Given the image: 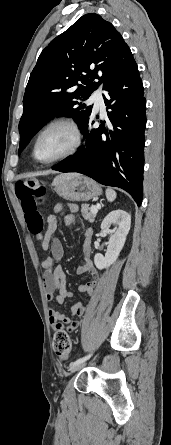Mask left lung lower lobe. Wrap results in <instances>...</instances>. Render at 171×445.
<instances>
[{
	"label": "left lung lower lobe",
	"mask_w": 171,
	"mask_h": 445,
	"mask_svg": "<svg viewBox=\"0 0 171 445\" xmlns=\"http://www.w3.org/2000/svg\"><path fill=\"white\" fill-rule=\"evenodd\" d=\"M108 120L93 128L90 118L82 133L85 143L54 170L78 172L97 182L127 191L142 202L146 100L136 63L115 74L103 86Z\"/></svg>",
	"instance_id": "obj_1"
}]
</instances>
